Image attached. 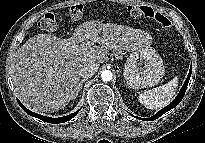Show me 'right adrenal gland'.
<instances>
[{
  "mask_svg": "<svg viewBox=\"0 0 205 143\" xmlns=\"http://www.w3.org/2000/svg\"><path fill=\"white\" fill-rule=\"evenodd\" d=\"M86 80H87V79H82V80L80 81V83H79V85H78V89H77V91H76V93H75L73 99H75V98L78 96V93H79L80 89L82 88L83 83H84Z\"/></svg>",
  "mask_w": 205,
  "mask_h": 143,
  "instance_id": "obj_1",
  "label": "right adrenal gland"
}]
</instances>
